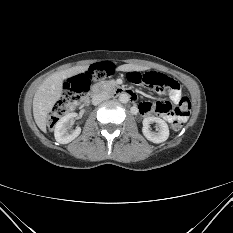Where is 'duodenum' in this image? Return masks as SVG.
<instances>
[{
	"label": "duodenum",
	"instance_id": "410a0bca",
	"mask_svg": "<svg viewBox=\"0 0 233 233\" xmlns=\"http://www.w3.org/2000/svg\"><path fill=\"white\" fill-rule=\"evenodd\" d=\"M103 89H104V87L101 83H95L92 85L90 90L92 93H101L103 91ZM110 91L112 92V94H114L116 96L125 95V96L132 98V99L135 98V95L131 91L126 90L125 88L118 86V85L110 87Z\"/></svg>",
	"mask_w": 233,
	"mask_h": 233
}]
</instances>
